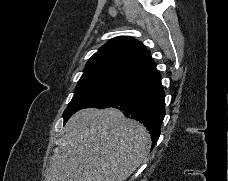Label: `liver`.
<instances>
[{"label":"liver","instance_id":"obj_1","mask_svg":"<svg viewBox=\"0 0 228 181\" xmlns=\"http://www.w3.org/2000/svg\"><path fill=\"white\" fill-rule=\"evenodd\" d=\"M65 147L47 181H126L146 163L151 137L118 109H82L64 127Z\"/></svg>","mask_w":228,"mask_h":181}]
</instances>
